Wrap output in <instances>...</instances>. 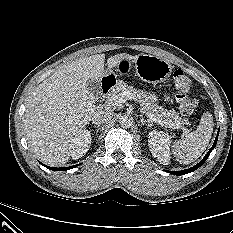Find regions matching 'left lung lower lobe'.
Returning <instances> with one entry per match:
<instances>
[{
  "label": "left lung lower lobe",
  "instance_id": "1",
  "mask_svg": "<svg viewBox=\"0 0 233 233\" xmlns=\"http://www.w3.org/2000/svg\"><path fill=\"white\" fill-rule=\"evenodd\" d=\"M218 134H219V131H218ZM218 134H217V137H216V139H215V141H214L213 146L211 147V149L209 150V152L205 155V157H204L198 164H196L195 166H193V167H191V168H189V169H186V170H182V171H168V172L171 173V174L179 175V176H180V175H185V174H187V173L193 172V171H195L196 169H198L201 165L204 164V162H205V161L207 160V158L209 157L211 151L215 148L216 143H217V140H218Z\"/></svg>",
  "mask_w": 233,
  "mask_h": 233
}]
</instances>
